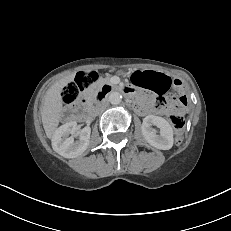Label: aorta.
I'll list each match as a JSON object with an SVG mask.
<instances>
[{
  "instance_id": "obj_1",
  "label": "aorta",
  "mask_w": 231,
  "mask_h": 231,
  "mask_svg": "<svg viewBox=\"0 0 231 231\" xmlns=\"http://www.w3.org/2000/svg\"><path fill=\"white\" fill-rule=\"evenodd\" d=\"M109 101L113 105H118L122 101V94L118 91H113L109 95Z\"/></svg>"
}]
</instances>
